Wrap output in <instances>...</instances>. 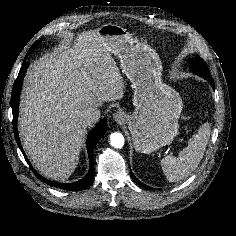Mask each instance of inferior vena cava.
<instances>
[{
    "label": "inferior vena cava",
    "mask_w": 236,
    "mask_h": 236,
    "mask_svg": "<svg viewBox=\"0 0 236 236\" xmlns=\"http://www.w3.org/2000/svg\"><path fill=\"white\" fill-rule=\"evenodd\" d=\"M100 118V110L96 107H88L82 114L83 123L87 126L95 124Z\"/></svg>",
    "instance_id": "obj_1"
}]
</instances>
